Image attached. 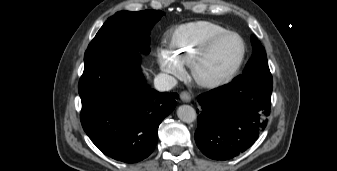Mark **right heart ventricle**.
Returning a JSON list of instances; mask_svg holds the SVG:
<instances>
[{
    "label": "right heart ventricle",
    "instance_id": "right-heart-ventricle-1",
    "mask_svg": "<svg viewBox=\"0 0 337 171\" xmlns=\"http://www.w3.org/2000/svg\"><path fill=\"white\" fill-rule=\"evenodd\" d=\"M225 31L223 26L206 20L182 24L170 34L168 52L180 64L190 65L204 43Z\"/></svg>",
    "mask_w": 337,
    "mask_h": 171
}]
</instances>
